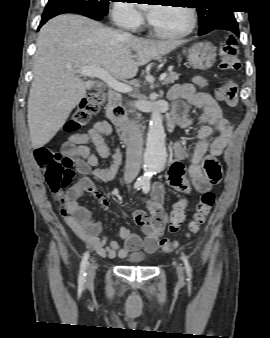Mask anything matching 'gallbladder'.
I'll list each match as a JSON object with an SVG mask.
<instances>
[{"instance_id":"bac80fb5","label":"gallbladder","mask_w":270,"mask_h":338,"mask_svg":"<svg viewBox=\"0 0 270 338\" xmlns=\"http://www.w3.org/2000/svg\"><path fill=\"white\" fill-rule=\"evenodd\" d=\"M95 89H100L99 87H95Z\"/></svg>"}]
</instances>
